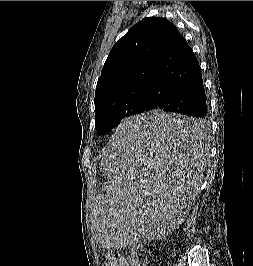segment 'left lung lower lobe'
Returning <instances> with one entry per match:
<instances>
[{
    "instance_id": "left-lung-lower-lobe-1",
    "label": "left lung lower lobe",
    "mask_w": 253,
    "mask_h": 266,
    "mask_svg": "<svg viewBox=\"0 0 253 266\" xmlns=\"http://www.w3.org/2000/svg\"><path fill=\"white\" fill-rule=\"evenodd\" d=\"M162 109L193 117L148 127L172 138H197L205 127L207 105L199 63L185 38L175 31L160 56L144 103V112Z\"/></svg>"
}]
</instances>
